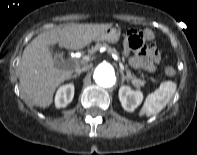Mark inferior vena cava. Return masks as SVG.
Listing matches in <instances>:
<instances>
[{"mask_svg":"<svg viewBox=\"0 0 197 155\" xmlns=\"http://www.w3.org/2000/svg\"><path fill=\"white\" fill-rule=\"evenodd\" d=\"M88 69H89V66H83L81 68H77L75 71H76L77 74H80L82 72L87 71Z\"/></svg>","mask_w":197,"mask_h":155,"instance_id":"1","label":"inferior vena cava"}]
</instances>
